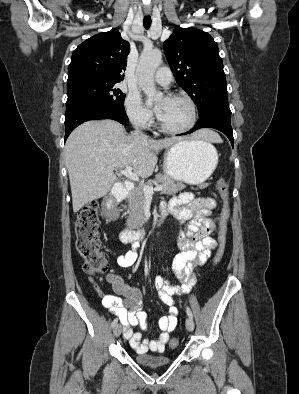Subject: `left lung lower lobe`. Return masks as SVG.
I'll list each match as a JSON object with an SVG mask.
<instances>
[{
    "mask_svg": "<svg viewBox=\"0 0 299 394\" xmlns=\"http://www.w3.org/2000/svg\"><path fill=\"white\" fill-rule=\"evenodd\" d=\"M231 111L227 102H217L210 105L205 111L199 114L196 125L184 134L192 133L200 128H214L223 132L234 146V138L231 127Z\"/></svg>",
    "mask_w": 299,
    "mask_h": 394,
    "instance_id": "left-lung-lower-lobe-1",
    "label": "left lung lower lobe"
}]
</instances>
